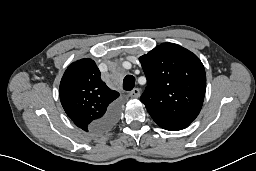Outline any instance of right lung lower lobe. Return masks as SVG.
<instances>
[{
  "mask_svg": "<svg viewBox=\"0 0 256 171\" xmlns=\"http://www.w3.org/2000/svg\"><path fill=\"white\" fill-rule=\"evenodd\" d=\"M119 115V105L116 103L112 105L105 115L99 121V128L101 130H106L111 128L117 121Z\"/></svg>",
  "mask_w": 256,
  "mask_h": 171,
  "instance_id": "right-lung-lower-lobe-1",
  "label": "right lung lower lobe"
}]
</instances>
